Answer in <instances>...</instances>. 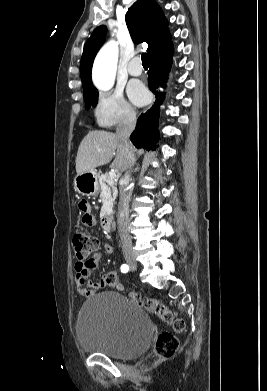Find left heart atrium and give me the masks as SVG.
Listing matches in <instances>:
<instances>
[{"instance_id":"1","label":"left heart atrium","mask_w":267,"mask_h":391,"mask_svg":"<svg viewBox=\"0 0 267 391\" xmlns=\"http://www.w3.org/2000/svg\"><path fill=\"white\" fill-rule=\"evenodd\" d=\"M128 95L133 103L136 105H142L148 98L146 88L141 82L133 81L128 86Z\"/></svg>"}]
</instances>
